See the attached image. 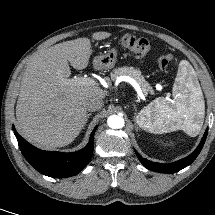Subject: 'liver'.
I'll return each mask as SVG.
<instances>
[{
	"mask_svg": "<svg viewBox=\"0 0 215 215\" xmlns=\"http://www.w3.org/2000/svg\"><path fill=\"white\" fill-rule=\"evenodd\" d=\"M111 36L95 32L94 40ZM92 54L88 38H78L36 52L28 61L21 81L16 105L20 134L41 148L70 144L83 129L90 97L104 98L106 93L97 85L69 86V63L77 70L88 66Z\"/></svg>",
	"mask_w": 215,
	"mask_h": 215,
	"instance_id": "1",
	"label": "liver"
}]
</instances>
